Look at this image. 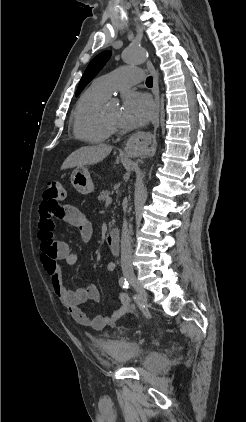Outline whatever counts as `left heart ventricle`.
I'll list each match as a JSON object with an SVG mask.
<instances>
[{
    "label": "left heart ventricle",
    "instance_id": "left-heart-ventricle-1",
    "mask_svg": "<svg viewBox=\"0 0 246 422\" xmlns=\"http://www.w3.org/2000/svg\"><path fill=\"white\" fill-rule=\"evenodd\" d=\"M104 114L109 121L117 123L119 120L120 110L118 107H110L106 109Z\"/></svg>",
    "mask_w": 246,
    "mask_h": 422
}]
</instances>
